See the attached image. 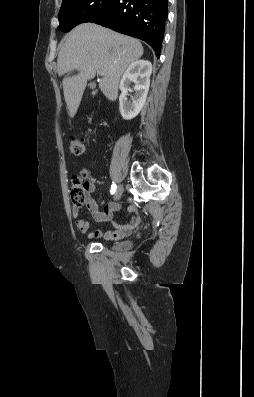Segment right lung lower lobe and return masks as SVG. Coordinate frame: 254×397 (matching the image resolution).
<instances>
[{
  "mask_svg": "<svg viewBox=\"0 0 254 397\" xmlns=\"http://www.w3.org/2000/svg\"><path fill=\"white\" fill-rule=\"evenodd\" d=\"M167 0H113L89 22L147 42L160 56L168 16Z\"/></svg>",
  "mask_w": 254,
  "mask_h": 397,
  "instance_id": "98d812e1",
  "label": "right lung lower lobe"
}]
</instances>
